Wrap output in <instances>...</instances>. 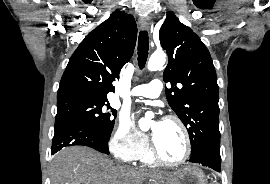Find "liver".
Returning a JSON list of instances; mask_svg holds the SVG:
<instances>
[{"label": "liver", "mask_w": 270, "mask_h": 184, "mask_svg": "<svg viewBox=\"0 0 270 184\" xmlns=\"http://www.w3.org/2000/svg\"><path fill=\"white\" fill-rule=\"evenodd\" d=\"M145 177L82 146L63 149L51 166V184H142Z\"/></svg>", "instance_id": "1"}]
</instances>
